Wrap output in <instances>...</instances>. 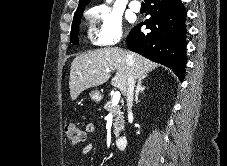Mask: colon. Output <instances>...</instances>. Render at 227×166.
Masks as SVG:
<instances>
[{
  "label": "colon",
  "mask_w": 227,
  "mask_h": 166,
  "mask_svg": "<svg viewBox=\"0 0 227 166\" xmlns=\"http://www.w3.org/2000/svg\"><path fill=\"white\" fill-rule=\"evenodd\" d=\"M65 137L69 144L76 145L85 139V134L76 124L69 123L65 126Z\"/></svg>",
  "instance_id": "5ec220e1"
}]
</instances>
